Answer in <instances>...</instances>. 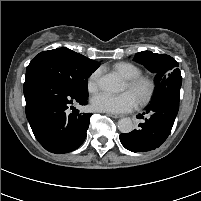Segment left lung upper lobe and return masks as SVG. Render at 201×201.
Instances as JSON below:
<instances>
[{"instance_id": "obj_1", "label": "left lung upper lobe", "mask_w": 201, "mask_h": 201, "mask_svg": "<svg viewBox=\"0 0 201 201\" xmlns=\"http://www.w3.org/2000/svg\"><path fill=\"white\" fill-rule=\"evenodd\" d=\"M133 60L143 64L149 71L156 74L153 100L169 91L180 93L181 72L178 68V62L171 56L143 51L136 53Z\"/></svg>"}]
</instances>
